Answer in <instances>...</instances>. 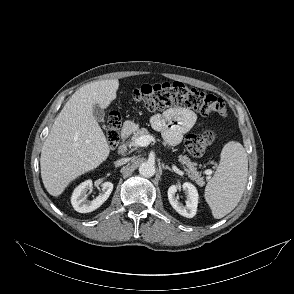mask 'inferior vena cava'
Listing matches in <instances>:
<instances>
[{
  "instance_id": "1",
  "label": "inferior vena cava",
  "mask_w": 294,
  "mask_h": 294,
  "mask_svg": "<svg viewBox=\"0 0 294 294\" xmlns=\"http://www.w3.org/2000/svg\"><path fill=\"white\" fill-rule=\"evenodd\" d=\"M129 161V158H122L120 160L117 161L118 164H125Z\"/></svg>"
}]
</instances>
